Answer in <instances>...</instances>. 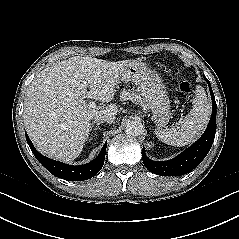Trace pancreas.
Returning a JSON list of instances; mask_svg holds the SVG:
<instances>
[{
    "instance_id": "obj_1",
    "label": "pancreas",
    "mask_w": 239,
    "mask_h": 239,
    "mask_svg": "<svg viewBox=\"0 0 239 239\" xmlns=\"http://www.w3.org/2000/svg\"><path fill=\"white\" fill-rule=\"evenodd\" d=\"M120 100L126 101L131 100L136 105L143 106V100L140 95H138L134 90H123L120 93Z\"/></svg>"
}]
</instances>
